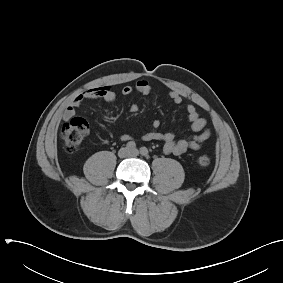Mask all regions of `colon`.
<instances>
[{
    "instance_id": "5ec220e1",
    "label": "colon",
    "mask_w": 283,
    "mask_h": 283,
    "mask_svg": "<svg viewBox=\"0 0 283 283\" xmlns=\"http://www.w3.org/2000/svg\"><path fill=\"white\" fill-rule=\"evenodd\" d=\"M88 130L89 125L87 121L78 117L63 124L60 137L63 141L64 148L69 152L76 151L82 144ZM210 162L211 159L206 154H200L196 158V163L200 167H207Z\"/></svg>"
}]
</instances>
